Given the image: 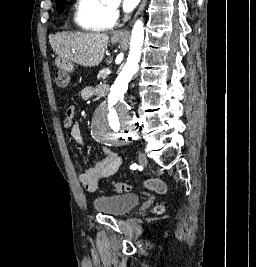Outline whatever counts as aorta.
Returning <instances> with one entry per match:
<instances>
[{"instance_id": "762f6f07", "label": "aorta", "mask_w": 256, "mask_h": 267, "mask_svg": "<svg viewBox=\"0 0 256 267\" xmlns=\"http://www.w3.org/2000/svg\"><path fill=\"white\" fill-rule=\"evenodd\" d=\"M139 38L138 54H133V40ZM144 40V24L142 20H137L133 26L130 52L127 62L122 68L124 71L117 76L114 81V87L110 95H107V101H100L99 108H95L93 127H132L134 117H132V108L128 104H123V94L127 83H130L132 72L139 70L141 60V46ZM90 138H95V143H129V138H122V133H128V128H89Z\"/></svg>"}]
</instances>
